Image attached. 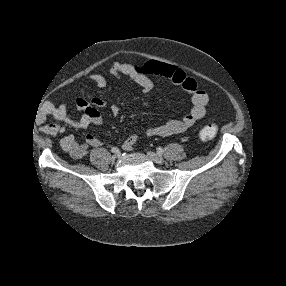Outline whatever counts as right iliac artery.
Listing matches in <instances>:
<instances>
[{
	"label": "right iliac artery",
	"instance_id": "obj_1",
	"mask_svg": "<svg viewBox=\"0 0 286 286\" xmlns=\"http://www.w3.org/2000/svg\"><path fill=\"white\" fill-rule=\"evenodd\" d=\"M111 151H112L113 153H117V152H119V149H118L117 147H113V148L111 149Z\"/></svg>",
	"mask_w": 286,
	"mask_h": 286
}]
</instances>
